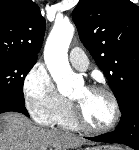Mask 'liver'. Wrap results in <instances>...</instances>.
I'll return each instance as SVG.
<instances>
[{
  "instance_id": "1",
  "label": "liver",
  "mask_w": 139,
  "mask_h": 150,
  "mask_svg": "<svg viewBox=\"0 0 139 150\" xmlns=\"http://www.w3.org/2000/svg\"><path fill=\"white\" fill-rule=\"evenodd\" d=\"M86 141L70 134L33 126L23 115H0V150H72Z\"/></svg>"
}]
</instances>
